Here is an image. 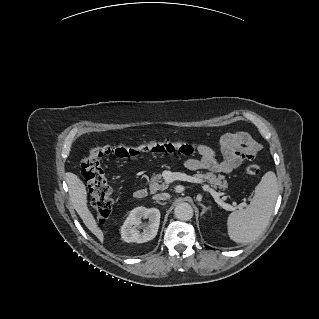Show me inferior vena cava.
I'll use <instances>...</instances> for the list:
<instances>
[{
    "label": "inferior vena cava",
    "instance_id": "1",
    "mask_svg": "<svg viewBox=\"0 0 319 319\" xmlns=\"http://www.w3.org/2000/svg\"><path fill=\"white\" fill-rule=\"evenodd\" d=\"M152 198L158 202L160 200L164 201L169 199L170 195L168 193H160V194H155Z\"/></svg>",
    "mask_w": 319,
    "mask_h": 319
}]
</instances>
